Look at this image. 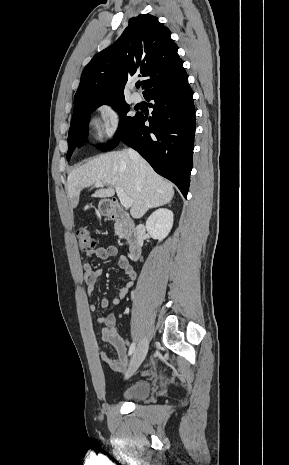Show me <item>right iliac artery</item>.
Returning <instances> with one entry per match:
<instances>
[{
	"label": "right iliac artery",
	"mask_w": 289,
	"mask_h": 465,
	"mask_svg": "<svg viewBox=\"0 0 289 465\" xmlns=\"http://www.w3.org/2000/svg\"><path fill=\"white\" fill-rule=\"evenodd\" d=\"M134 350H135V343H132L130 348H129L128 355L131 356L134 353Z\"/></svg>",
	"instance_id": "82829eb1"
}]
</instances>
